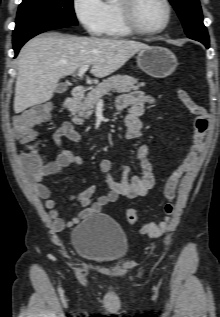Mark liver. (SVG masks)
Listing matches in <instances>:
<instances>
[{
    "mask_svg": "<svg viewBox=\"0 0 220 317\" xmlns=\"http://www.w3.org/2000/svg\"><path fill=\"white\" fill-rule=\"evenodd\" d=\"M146 44L115 38L39 35L26 43L17 57L14 111L50 100L59 80L84 65L90 73L106 77L121 68Z\"/></svg>",
    "mask_w": 220,
    "mask_h": 317,
    "instance_id": "1",
    "label": "liver"
}]
</instances>
